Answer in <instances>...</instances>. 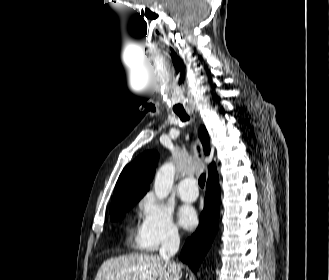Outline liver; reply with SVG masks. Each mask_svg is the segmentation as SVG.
Masks as SVG:
<instances>
[{
  "instance_id": "1",
  "label": "liver",
  "mask_w": 329,
  "mask_h": 280,
  "mask_svg": "<svg viewBox=\"0 0 329 280\" xmlns=\"http://www.w3.org/2000/svg\"><path fill=\"white\" fill-rule=\"evenodd\" d=\"M180 269L171 267L158 255L130 254L107 259L95 280H179Z\"/></svg>"
}]
</instances>
